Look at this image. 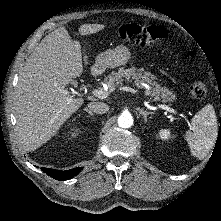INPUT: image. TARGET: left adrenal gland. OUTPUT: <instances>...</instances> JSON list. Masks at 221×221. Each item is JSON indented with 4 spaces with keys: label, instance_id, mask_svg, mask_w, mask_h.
Returning a JSON list of instances; mask_svg holds the SVG:
<instances>
[{
    "label": "left adrenal gland",
    "instance_id": "1",
    "mask_svg": "<svg viewBox=\"0 0 221 221\" xmlns=\"http://www.w3.org/2000/svg\"><path fill=\"white\" fill-rule=\"evenodd\" d=\"M139 113L144 117V120L147 121V116L154 114L153 112H148L143 109H139Z\"/></svg>",
    "mask_w": 221,
    "mask_h": 221
}]
</instances>
